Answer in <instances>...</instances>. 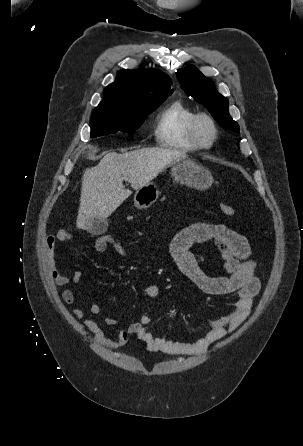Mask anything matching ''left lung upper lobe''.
Wrapping results in <instances>:
<instances>
[{"mask_svg": "<svg viewBox=\"0 0 303 446\" xmlns=\"http://www.w3.org/2000/svg\"><path fill=\"white\" fill-rule=\"evenodd\" d=\"M176 75L182 89L203 104L222 127L239 133V125L228 112V100L215 89L212 80L193 65L179 69Z\"/></svg>", "mask_w": 303, "mask_h": 446, "instance_id": "1", "label": "left lung upper lobe"}]
</instances>
